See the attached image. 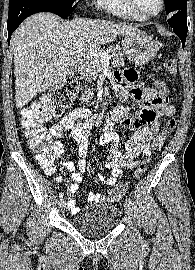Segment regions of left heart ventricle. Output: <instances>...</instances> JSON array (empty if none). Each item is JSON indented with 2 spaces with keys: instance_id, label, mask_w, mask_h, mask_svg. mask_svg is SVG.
I'll return each instance as SVG.
<instances>
[{
  "instance_id": "obj_1",
  "label": "left heart ventricle",
  "mask_w": 195,
  "mask_h": 270,
  "mask_svg": "<svg viewBox=\"0 0 195 270\" xmlns=\"http://www.w3.org/2000/svg\"><path fill=\"white\" fill-rule=\"evenodd\" d=\"M136 7L143 14H153L159 9V0H134Z\"/></svg>"
}]
</instances>
